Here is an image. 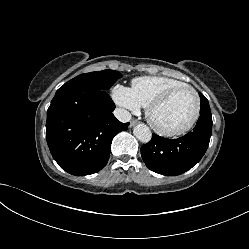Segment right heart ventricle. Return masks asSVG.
Wrapping results in <instances>:
<instances>
[{
    "instance_id": "1",
    "label": "right heart ventricle",
    "mask_w": 249,
    "mask_h": 249,
    "mask_svg": "<svg viewBox=\"0 0 249 249\" xmlns=\"http://www.w3.org/2000/svg\"><path fill=\"white\" fill-rule=\"evenodd\" d=\"M131 84V90L136 100L142 107H147L169 89L186 83L164 76H143L133 79Z\"/></svg>"
}]
</instances>
